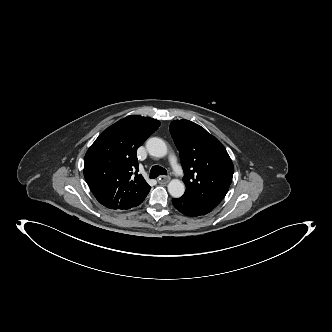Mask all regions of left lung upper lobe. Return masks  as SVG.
Segmentation results:
<instances>
[{"label": "left lung upper lobe", "mask_w": 332, "mask_h": 332, "mask_svg": "<svg viewBox=\"0 0 332 332\" xmlns=\"http://www.w3.org/2000/svg\"><path fill=\"white\" fill-rule=\"evenodd\" d=\"M170 133L180 154L186 191L182 197L213 210L225 197L234 166L220 141L189 120H175Z\"/></svg>", "instance_id": "1"}]
</instances>
